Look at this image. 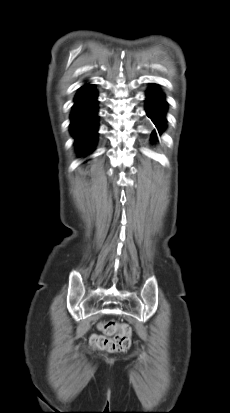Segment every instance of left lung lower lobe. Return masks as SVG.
I'll return each instance as SVG.
<instances>
[{
    "mask_svg": "<svg viewBox=\"0 0 230 413\" xmlns=\"http://www.w3.org/2000/svg\"><path fill=\"white\" fill-rule=\"evenodd\" d=\"M146 113L155 124L157 131L153 130L151 134L152 142L157 141V132L162 134L166 127L165 114L167 111V102L161 90L152 85L146 92Z\"/></svg>",
    "mask_w": 230,
    "mask_h": 413,
    "instance_id": "obj_1",
    "label": "left lung lower lobe"
}]
</instances>
